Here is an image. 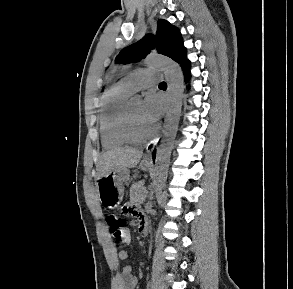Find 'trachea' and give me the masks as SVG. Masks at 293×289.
<instances>
[{"label":"trachea","mask_w":293,"mask_h":289,"mask_svg":"<svg viewBox=\"0 0 293 289\" xmlns=\"http://www.w3.org/2000/svg\"><path fill=\"white\" fill-rule=\"evenodd\" d=\"M159 86H167L166 82H161Z\"/></svg>","instance_id":"trachea-1"}]
</instances>
